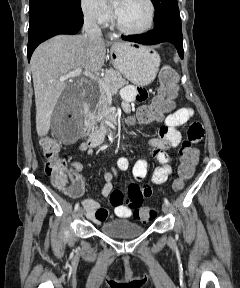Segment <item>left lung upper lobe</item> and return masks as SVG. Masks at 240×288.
Listing matches in <instances>:
<instances>
[{
    "mask_svg": "<svg viewBox=\"0 0 240 288\" xmlns=\"http://www.w3.org/2000/svg\"><path fill=\"white\" fill-rule=\"evenodd\" d=\"M155 8L154 27L164 24L181 25L177 0H151Z\"/></svg>",
    "mask_w": 240,
    "mask_h": 288,
    "instance_id": "5c2ea615",
    "label": "left lung upper lobe"
}]
</instances>
